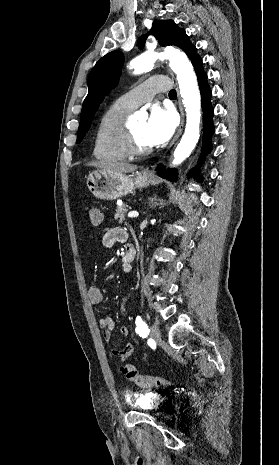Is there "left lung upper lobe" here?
<instances>
[{"instance_id":"obj_1","label":"left lung upper lobe","mask_w":279,"mask_h":465,"mask_svg":"<svg viewBox=\"0 0 279 465\" xmlns=\"http://www.w3.org/2000/svg\"><path fill=\"white\" fill-rule=\"evenodd\" d=\"M149 34L154 35L161 46L174 45L180 47L188 55L192 63L199 57L196 47L191 44L185 30L179 28L172 20L154 21ZM146 38L147 35H144L138 40L137 46L140 49L144 47ZM123 60L122 52L113 51L102 57L91 70L88 78V94L81 111L77 137L78 143L81 142L88 131L95 112L104 96L112 88L116 87Z\"/></svg>"}]
</instances>
